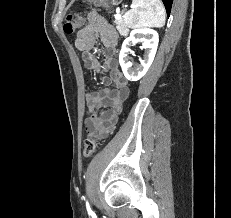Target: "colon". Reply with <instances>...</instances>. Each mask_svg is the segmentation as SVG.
Segmentation results:
<instances>
[{"mask_svg": "<svg viewBox=\"0 0 231 218\" xmlns=\"http://www.w3.org/2000/svg\"><path fill=\"white\" fill-rule=\"evenodd\" d=\"M94 3L103 4L105 0H86ZM84 23L83 17L77 13L72 12L67 15L66 22L64 24V31L68 34L74 33L78 30ZM97 141L94 138H89L85 141L84 149H83V156L85 158L91 157L94 152L96 151Z\"/></svg>", "mask_w": 231, "mask_h": 218, "instance_id": "colon-1", "label": "colon"}]
</instances>
